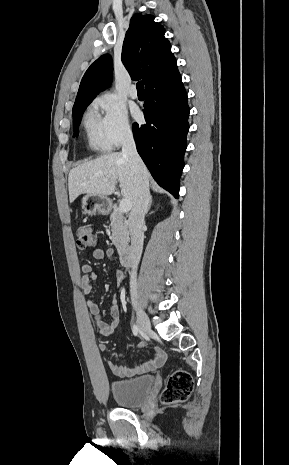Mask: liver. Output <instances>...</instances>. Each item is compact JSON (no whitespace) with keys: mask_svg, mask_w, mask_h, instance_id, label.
I'll return each instance as SVG.
<instances>
[{"mask_svg":"<svg viewBox=\"0 0 289 465\" xmlns=\"http://www.w3.org/2000/svg\"><path fill=\"white\" fill-rule=\"evenodd\" d=\"M143 175L149 183L147 168ZM117 182L120 184L121 195L130 201L132 208L137 197L136 175L128 157L120 152H113L78 165L70 170L68 176L70 202L81 194L111 195L115 192Z\"/></svg>","mask_w":289,"mask_h":465,"instance_id":"liver-1","label":"liver"}]
</instances>
